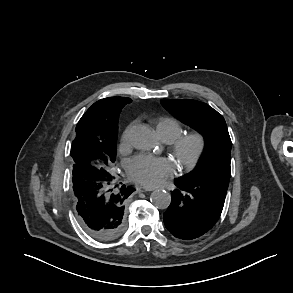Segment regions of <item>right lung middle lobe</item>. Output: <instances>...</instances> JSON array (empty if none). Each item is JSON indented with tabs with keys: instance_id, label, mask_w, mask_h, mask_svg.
I'll use <instances>...</instances> for the list:
<instances>
[{
	"instance_id": "right-lung-middle-lobe-1",
	"label": "right lung middle lobe",
	"mask_w": 293,
	"mask_h": 293,
	"mask_svg": "<svg viewBox=\"0 0 293 293\" xmlns=\"http://www.w3.org/2000/svg\"><path fill=\"white\" fill-rule=\"evenodd\" d=\"M82 153L87 152L94 158L96 166L102 174H110V170L116 160V136L106 142H98L97 140L86 136L78 135L76 132V138L72 142L71 156H75L76 151Z\"/></svg>"
}]
</instances>
